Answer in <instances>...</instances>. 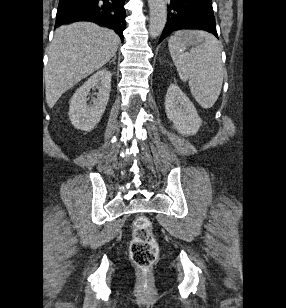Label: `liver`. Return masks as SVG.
Instances as JSON below:
<instances>
[{
    "label": "liver",
    "mask_w": 286,
    "mask_h": 308,
    "mask_svg": "<svg viewBox=\"0 0 286 308\" xmlns=\"http://www.w3.org/2000/svg\"><path fill=\"white\" fill-rule=\"evenodd\" d=\"M119 36L93 23L55 30L45 71V96L52 108L67 90L105 65L117 52Z\"/></svg>",
    "instance_id": "liver-1"
}]
</instances>
